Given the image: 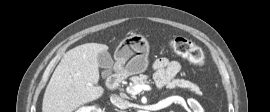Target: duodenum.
Here are the masks:
<instances>
[{
    "instance_id": "obj_1",
    "label": "duodenum",
    "mask_w": 270,
    "mask_h": 112,
    "mask_svg": "<svg viewBox=\"0 0 270 112\" xmlns=\"http://www.w3.org/2000/svg\"><path fill=\"white\" fill-rule=\"evenodd\" d=\"M117 81V74H113L111 78V82Z\"/></svg>"
}]
</instances>
